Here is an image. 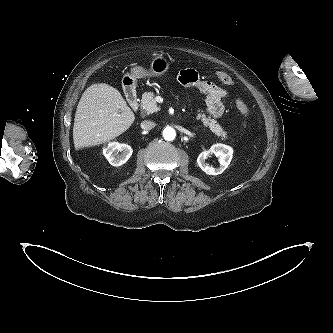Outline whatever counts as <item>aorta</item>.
Segmentation results:
<instances>
[{
  "label": "aorta",
  "instance_id": "obj_1",
  "mask_svg": "<svg viewBox=\"0 0 333 333\" xmlns=\"http://www.w3.org/2000/svg\"><path fill=\"white\" fill-rule=\"evenodd\" d=\"M175 136H176V132H175L174 128H172V127L164 128L163 137H164L165 140L172 141V140L175 139Z\"/></svg>",
  "mask_w": 333,
  "mask_h": 333
}]
</instances>
